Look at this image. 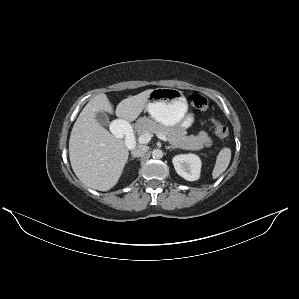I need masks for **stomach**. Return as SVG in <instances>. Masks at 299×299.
Segmentation results:
<instances>
[{
	"label": "stomach",
	"mask_w": 299,
	"mask_h": 299,
	"mask_svg": "<svg viewBox=\"0 0 299 299\" xmlns=\"http://www.w3.org/2000/svg\"><path fill=\"white\" fill-rule=\"evenodd\" d=\"M146 110L153 120L166 125H179L185 129L193 122L187 115L188 103L182 91L175 88H156L149 95Z\"/></svg>",
	"instance_id": "0dacf381"
}]
</instances>
